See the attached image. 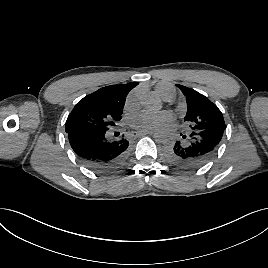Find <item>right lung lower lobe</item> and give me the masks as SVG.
<instances>
[{"instance_id":"right-lung-lower-lobe-1","label":"right lung lower lobe","mask_w":268,"mask_h":268,"mask_svg":"<svg viewBox=\"0 0 268 268\" xmlns=\"http://www.w3.org/2000/svg\"><path fill=\"white\" fill-rule=\"evenodd\" d=\"M67 133L79 160L93 171L115 170L125 160L129 142L124 137L111 139L107 131L72 130Z\"/></svg>"}]
</instances>
